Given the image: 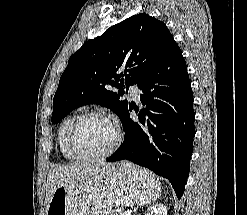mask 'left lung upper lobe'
<instances>
[{
  "label": "left lung upper lobe",
  "instance_id": "obj_1",
  "mask_svg": "<svg viewBox=\"0 0 247 215\" xmlns=\"http://www.w3.org/2000/svg\"><path fill=\"white\" fill-rule=\"evenodd\" d=\"M172 38L162 21L141 13L85 42L70 57L60 78L53 99L52 123L92 103L111 109L121 120L130 106L120 96L157 62ZM110 86L120 91L114 93Z\"/></svg>",
  "mask_w": 247,
  "mask_h": 215
}]
</instances>
